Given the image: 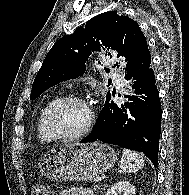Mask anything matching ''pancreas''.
Returning a JSON list of instances; mask_svg holds the SVG:
<instances>
[{
    "instance_id": "pancreas-1",
    "label": "pancreas",
    "mask_w": 189,
    "mask_h": 195,
    "mask_svg": "<svg viewBox=\"0 0 189 195\" xmlns=\"http://www.w3.org/2000/svg\"><path fill=\"white\" fill-rule=\"evenodd\" d=\"M95 188L99 187V185H94Z\"/></svg>"
}]
</instances>
